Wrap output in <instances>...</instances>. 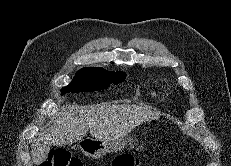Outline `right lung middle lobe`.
Segmentation results:
<instances>
[{"mask_svg":"<svg viewBox=\"0 0 231 166\" xmlns=\"http://www.w3.org/2000/svg\"><path fill=\"white\" fill-rule=\"evenodd\" d=\"M126 77L124 72H110L103 68L85 67L80 69L73 81L61 90V95L69 92H91L105 89L110 84H118Z\"/></svg>","mask_w":231,"mask_h":166,"instance_id":"1","label":"right lung middle lobe"}]
</instances>
